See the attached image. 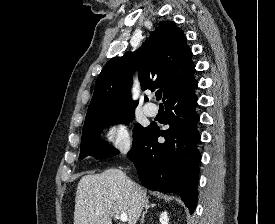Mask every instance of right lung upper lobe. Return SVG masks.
Returning <instances> with one entry per match:
<instances>
[{"mask_svg": "<svg viewBox=\"0 0 275 224\" xmlns=\"http://www.w3.org/2000/svg\"><path fill=\"white\" fill-rule=\"evenodd\" d=\"M191 55L182 30L173 21L160 22L151 32L150 41L136 52L107 62L96 80L84 127L118 113L134 111L138 101L131 100L130 87L135 68L142 89L160 88L164 100L185 87L195 71Z\"/></svg>", "mask_w": 275, "mask_h": 224, "instance_id": "1", "label": "right lung upper lobe"}]
</instances>
